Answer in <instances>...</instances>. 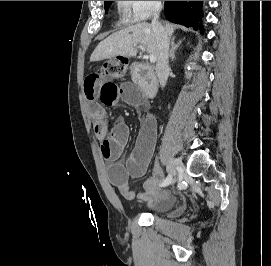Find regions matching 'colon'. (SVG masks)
<instances>
[{"label":"colon","mask_w":271,"mask_h":266,"mask_svg":"<svg viewBox=\"0 0 271 266\" xmlns=\"http://www.w3.org/2000/svg\"><path fill=\"white\" fill-rule=\"evenodd\" d=\"M126 65L127 62L125 59L117 58L106 61L103 66L102 70L105 76L119 78L123 77L126 72Z\"/></svg>","instance_id":"obj_1"}]
</instances>
